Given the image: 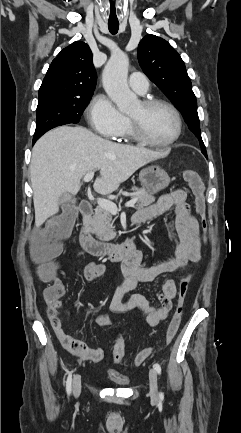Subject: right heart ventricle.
Segmentation results:
<instances>
[{
	"instance_id": "e07e8e85",
	"label": "right heart ventricle",
	"mask_w": 241,
	"mask_h": 433,
	"mask_svg": "<svg viewBox=\"0 0 241 433\" xmlns=\"http://www.w3.org/2000/svg\"><path fill=\"white\" fill-rule=\"evenodd\" d=\"M115 139L122 140V141H125V142H130V141H134L135 140V138L133 137V135L131 133L128 121H127L126 126L122 130V132L118 136H116Z\"/></svg>"
}]
</instances>
